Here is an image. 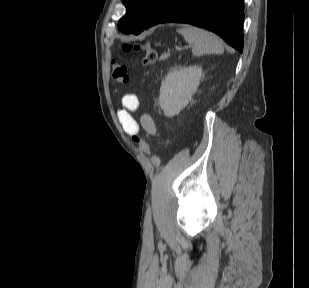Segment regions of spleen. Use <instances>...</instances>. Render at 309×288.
<instances>
[{
  "label": "spleen",
  "instance_id": "spleen-1",
  "mask_svg": "<svg viewBox=\"0 0 309 288\" xmlns=\"http://www.w3.org/2000/svg\"><path fill=\"white\" fill-rule=\"evenodd\" d=\"M185 41L193 45L192 52L196 56L205 54H222L223 42L215 34L193 26H185L178 30Z\"/></svg>",
  "mask_w": 309,
  "mask_h": 288
}]
</instances>
